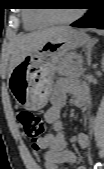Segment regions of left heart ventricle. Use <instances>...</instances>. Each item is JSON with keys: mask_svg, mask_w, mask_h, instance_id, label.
Instances as JSON below:
<instances>
[{"mask_svg": "<svg viewBox=\"0 0 104 169\" xmlns=\"http://www.w3.org/2000/svg\"><path fill=\"white\" fill-rule=\"evenodd\" d=\"M74 10L72 9H67V10H57V11H54V14L59 17V18H66V17H69L73 14Z\"/></svg>", "mask_w": 104, "mask_h": 169, "instance_id": "1", "label": "left heart ventricle"}]
</instances>
